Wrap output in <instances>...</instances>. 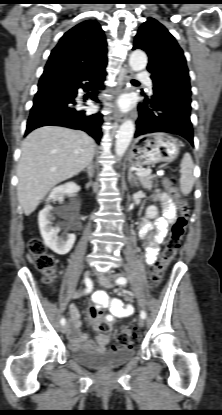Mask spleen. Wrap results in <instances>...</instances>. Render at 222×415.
Masks as SVG:
<instances>
[{
  "label": "spleen",
  "mask_w": 222,
  "mask_h": 415,
  "mask_svg": "<svg viewBox=\"0 0 222 415\" xmlns=\"http://www.w3.org/2000/svg\"><path fill=\"white\" fill-rule=\"evenodd\" d=\"M180 191L184 195L190 194L192 191L195 178H194V164L189 153H185L180 164Z\"/></svg>",
  "instance_id": "spleen-1"
}]
</instances>
